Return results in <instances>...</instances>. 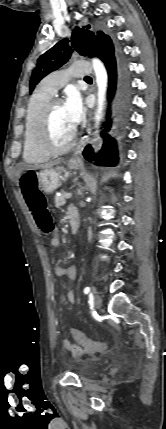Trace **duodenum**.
I'll return each mask as SVG.
<instances>
[{
	"mask_svg": "<svg viewBox=\"0 0 166 429\" xmlns=\"http://www.w3.org/2000/svg\"><path fill=\"white\" fill-rule=\"evenodd\" d=\"M69 221L72 232H75L79 228V215L77 210L69 213Z\"/></svg>",
	"mask_w": 166,
	"mask_h": 429,
	"instance_id": "duodenum-1",
	"label": "duodenum"
}]
</instances>
